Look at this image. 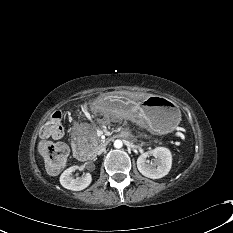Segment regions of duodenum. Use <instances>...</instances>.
Here are the masks:
<instances>
[{"label": "duodenum", "mask_w": 233, "mask_h": 233, "mask_svg": "<svg viewBox=\"0 0 233 233\" xmlns=\"http://www.w3.org/2000/svg\"><path fill=\"white\" fill-rule=\"evenodd\" d=\"M73 149L76 157L81 161H90L92 159L90 151L81 143H74Z\"/></svg>", "instance_id": "obj_1"}]
</instances>
